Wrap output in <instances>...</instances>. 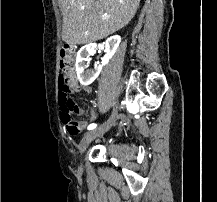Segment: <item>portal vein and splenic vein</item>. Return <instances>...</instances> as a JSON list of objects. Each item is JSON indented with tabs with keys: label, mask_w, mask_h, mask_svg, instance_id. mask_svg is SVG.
I'll list each match as a JSON object with an SVG mask.
<instances>
[{
	"label": "portal vein and splenic vein",
	"mask_w": 217,
	"mask_h": 202,
	"mask_svg": "<svg viewBox=\"0 0 217 202\" xmlns=\"http://www.w3.org/2000/svg\"><path fill=\"white\" fill-rule=\"evenodd\" d=\"M102 20H107L106 16H104V18H102Z\"/></svg>",
	"instance_id": "18ae733b"
}]
</instances>
